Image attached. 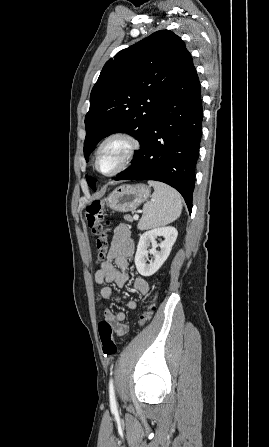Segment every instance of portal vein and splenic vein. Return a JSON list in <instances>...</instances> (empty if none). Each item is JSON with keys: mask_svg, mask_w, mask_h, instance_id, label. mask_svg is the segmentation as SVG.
Instances as JSON below:
<instances>
[{"mask_svg": "<svg viewBox=\"0 0 269 447\" xmlns=\"http://www.w3.org/2000/svg\"><path fill=\"white\" fill-rule=\"evenodd\" d=\"M134 220H138L139 216H133Z\"/></svg>", "mask_w": 269, "mask_h": 447, "instance_id": "obj_1", "label": "portal vein and splenic vein"}]
</instances>
